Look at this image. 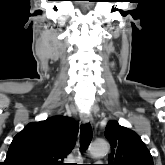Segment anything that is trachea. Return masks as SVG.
I'll return each instance as SVG.
<instances>
[{
  "instance_id": "1",
  "label": "trachea",
  "mask_w": 165,
  "mask_h": 165,
  "mask_svg": "<svg viewBox=\"0 0 165 165\" xmlns=\"http://www.w3.org/2000/svg\"><path fill=\"white\" fill-rule=\"evenodd\" d=\"M93 136L92 128L90 123L81 126L80 130V149L85 152L91 143Z\"/></svg>"
}]
</instances>
